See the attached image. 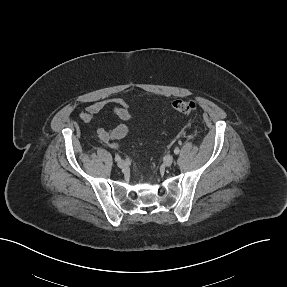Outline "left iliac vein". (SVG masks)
<instances>
[{"instance_id":"1","label":"left iliac vein","mask_w":287,"mask_h":287,"mask_svg":"<svg viewBox=\"0 0 287 287\" xmlns=\"http://www.w3.org/2000/svg\"><path fill=\"white\" fill-rule=\"evenodd\" d=\"M172 163H173V158H172V157H169V158H167V159L165 160L164 166H165V167H170V166L172 165Z\"/></svg>"}]
</instances>
